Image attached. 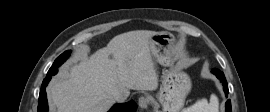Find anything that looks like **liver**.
I'll return each mask as SVG.
<instances>
[{"label": "liver", "instance_id": "6515ba94", "mask_svg": "<svg viewBox=\"0 0 270 112\" xmlns=\"http://www.w3.org/2000/svg\"><path fill=\"white\" fill-rule=\"evenodd\" d=\"M157 32L136 30L119 34L92 55L82 54L48 88L56 112H107L114 95L130 90H156L157 67L151 38Z\"/></svg>", "mask_w": 270, "mask_h": 112}]
</instances>
